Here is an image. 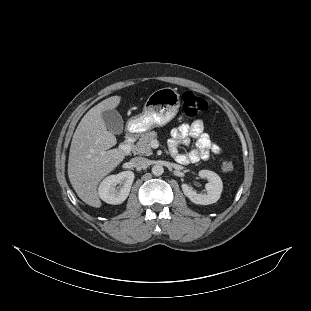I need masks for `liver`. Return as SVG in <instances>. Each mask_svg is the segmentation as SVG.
<instances>
[{
  "label": "liver",
  "mask_w": 311,
  "mask_h": 311,
  "mask_svg": "<svg viewBox=\"0 0 311 311\" xmlns=\"http://www.w3.org/2000/svg\"><path fill=\"white\" fill-rule=\"evenodd\" d=\"M120 97H109L82 118L76 128L70 146L68 174L78 196L87 204L99 207L97 182L111 171L124 157L122 150L113 148L114 134L109 131L101 117V112L118 105Z\"/></svg>",
  "instance_id": "obj_1"
}]
</instances>
